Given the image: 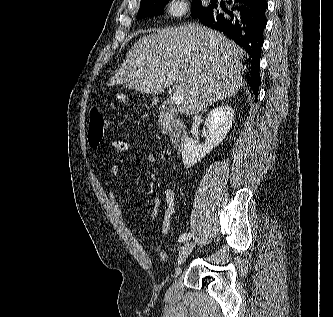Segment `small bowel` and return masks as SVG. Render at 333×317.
Listing matches in <instances>:
<instances>
[{
    "instance_id": "obj_1",
    "label": "small bowel",
    "mask_w": 333,
    "mask_h": 317,
    "mask_svg": "<svg viewBox=\"0 0 333 317\" xmlns=\"http://www.w3.org/2000/svg\"><path fill=\"white\" fill-rule=\"evenodd\" d=\"M111 147L115 150H125L128 145L125 142H112ZM156 161V157L146 151H137L130 155L124 156L112 164L110 168L111 175L116 177L119 175L121 169L134 162H142L146 164H153ZM109 197L112 203H117L115 192L113 189L109 192ZM165 207L164 219L161 226V233L167 235L172 227V220L175 208V193L172 188L167 187L163 191L162 197H157L151 212V221L155 223L158 219L159 213L162 207Z\"/></svg>"
}]
</instances>
